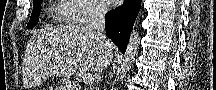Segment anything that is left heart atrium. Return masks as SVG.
<instances>
[{
    "instance_id": "left-heart-atrium-1",
    "label": "left heart atrium",
    "mask_w": 216,
    "mask_h": 90,
    "mask_svg": "<svg viewBox=\"0 0 216 90\" xmlns=\"http://www.w3.org/2000/svg\"><path fill=\"white\" fill-rule=\"evenodd\" d=\"M104 2L106 3L107 7H118L119 3L118 0H104Z\"/></svg>"
}]
</instances>
